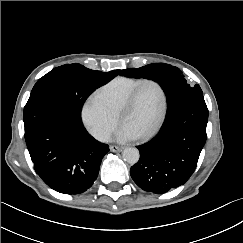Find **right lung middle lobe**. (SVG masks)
Masks as SVG:
<instances>
[{"label": "right lung middle lobe", "instance_id": "dd1d6c3e", "mask_svg": "<svg viewBox=\"0 0 243 243\" xmlns=\"http://www.w3.org/2000/svg\"><path fill=\"white\" fill-rule=\"evenodd\" d=\"M119 73L120 70L101 72L77 63L66 64L54 68L40 78L30 96L41 95L62 100L81 114L88 96Z\"/></svg>", "mask_w": 243, "mask_h": 243}]
</instances>
